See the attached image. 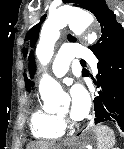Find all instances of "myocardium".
<instances>
[{
	"instance_id": "obj_1",
	"label": "myocardium",
	"mask_w": 124,
	"mask_h": 149,
	"mask_svg": "<svg viewBox=\"0 0 124 149\" xmlns=\"http://www.w3.org/2000/svg\"><path fill=\"white\" fill-rule=\"evenodd\" d=\"M58 117H59V119H60V121H61V123L63 124L64 127L67 126L69 128H74V127L77 126V123L70 120L67 116H64V115L60 114Z\"/></svg>"
}]
</instances>
